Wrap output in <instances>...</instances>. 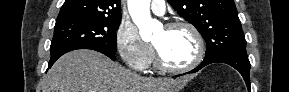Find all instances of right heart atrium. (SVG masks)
<instances>
[{"instance_id":"1","label":"right heart atrium","mask_w":289,"mask_h":92,"mask_svg":"<svg viewBox=\"0 0 289 92\" xmlns=\"http://www.w3.org/2000/svg\"><path fill=\"white\" fill-rule=\"evenodd\" d=\"M116 46L123 61L132 69L145 70L152 63L154 52L143 41L134 25L122 22L116 31Z\"/></svg>"}]
</instances>
